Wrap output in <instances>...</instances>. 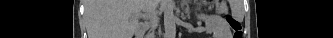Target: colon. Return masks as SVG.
<instances>
[{
	"label": "colon",
	"mask_w": 333,
	"mask_h": 38,
	"mask_svg": "<svg viewBox=\"0 0 333 38\" xmlns=\"http://www.w3.org/2000/svg\"><path fill=\"white\" fill-rule=\"evenodd\" d=\"M226 20L233 31V38H242L243 31L241 22L233 16H227Z\"/></svg>",
	"instance_id": "1"
}]
</instances>
